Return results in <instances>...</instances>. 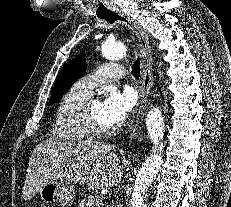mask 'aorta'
Masks as SVG:
<instances>
[{
	"mask_svg": "<svg viewBox=\"0 0 231 207\" xmlns=\"http://www.w3.org/2000/svg\"><path fill=\"white\" fill-rule=\"evenodd\" d=\"M101 53L108 60H119L127 55L128 49L121 42L105 41ZM146 127L154 145L153 153L145 160L136 176L128 207H145V192L159 173L162 165L161 151L163 144L161 140L164 135V121L162 112L158 108L154 107L148 112Z\"/></svg>",
	"mask_w": 231,
	"mask_h": 207,
	"instance_id": "1",
	"label": "aorta"
}]
</instances>
